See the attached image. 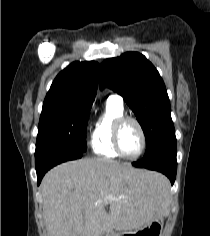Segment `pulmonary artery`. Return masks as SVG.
Here are the masks:
<instances>
[{
	"mask_svg": "<svg viewBox=\"0 0 210 236\" xmlns=\"http://www.w3.org/2000/svg\"><path fill=\"white\" fill-rule=\"evenodd\" d=\"M109 100H112L120 105H123V98L120 95L114 94L109 96Z\"/></svg>",
	"mask_w": 210,
	"mask_h": 236,
	"instance_id": "obj_1",
	"label": "pulmonary artery"
}]
</instances>
